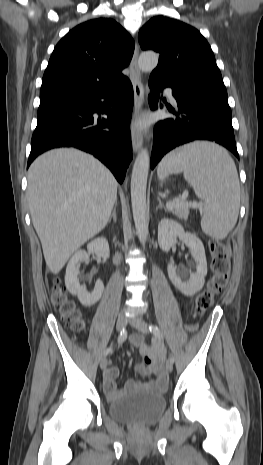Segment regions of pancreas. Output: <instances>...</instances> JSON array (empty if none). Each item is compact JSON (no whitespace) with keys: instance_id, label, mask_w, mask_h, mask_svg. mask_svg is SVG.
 I'll return each instance as SVG.
<instances>
[{"instance_id":"pancreas-1","label":"pancreas","mask_w":263,"mask_h":465,"mask_svg":"<svg viewBox=\"0 0 263 465\" xmlns=\"http://www.w3.org/2000/svg\"><path fill=\"white\" fill-rule=\"evenodd\" d=\"M172 213L175 214L180 220H187L189 214V207L184 205L178 206L172 210Z\"/></svg>"}]
</instances>
